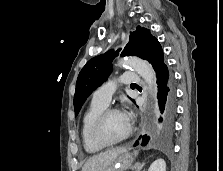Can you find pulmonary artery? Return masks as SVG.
I'll use <instances>...</instances> for the list:
<instances>
[{
	"mask_svg": "<svg viewBox=\"0 0 223 171\" xmlns=\"http://www.w3.org/2000/svg\"><path fill=\"white\" fill-rule=\"evenodd\" d=\"M140 81V77L135 72H126L124 73L120 79L119 83L130 85L134 84ZM117 88V82L116 81H110L104 85H102L100 88H98L94 94H93V100L108 105L111 101V98Z\"/></svg>",
	"mask_w": 223,
	"mask_h": 171,
	"instance_id": "obj_1",
	"label": "pulmonary artery"
}]
</instances>
